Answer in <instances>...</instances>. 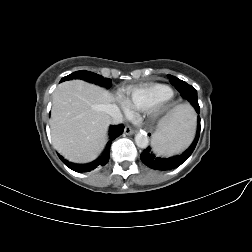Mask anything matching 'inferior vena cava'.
Instances as JSON below:
<instances>
[{"label": "inferior vena cava", "mask_w": 252, "mask_h": 252, "mask_svg": "<svg viewBox=\"0 0 252 252\" xmlns=\"http://www.w3.org/2000/svg\"><path fill=\"white\" fill-rule=\"evenodd\" d=\"M106 113L110 116L111 124H120L123 122V115L116 105L108 104L105 107Z\"/></svg>", "instance_id": "obj_1"}]
</instances>
